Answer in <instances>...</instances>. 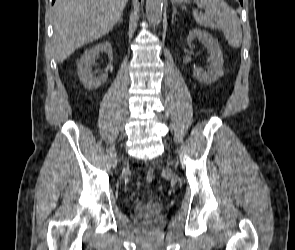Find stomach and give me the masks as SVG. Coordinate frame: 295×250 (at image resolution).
Segmentation results:
<instances>
[{
  "mask_svg": "<svg viewBox=\"0 0 295 250\" xmlns=\"http://www.w3.org/2000/svg\"><path fill=\"white\" fill-rule=\"evenodd\" d=\"M173 3H189L190 0H171Z\"/></svg>",
  "mask_w": 295,
  "mask_h": 250,
  "instance_id": "1",
  "label": "stomach"
}]
</instances>
